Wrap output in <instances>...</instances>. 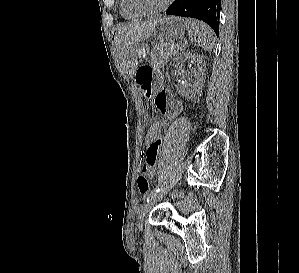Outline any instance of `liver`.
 Returning <instances> with one entry per match:
<instances>
[{
    "label": "liver",
    "mask_w": 299,
    "mask_h": 273,
    "mask_svg": "<svg viewBox=\"0 0 299 273\" xmlns=\"http://www.w3.org/2000/svg\"><path fill=\"white\" fill-rule=\"evenodd\" d=\"M158 20L131 22L118 27L114 42L124 66L134 74L138 64V48L147 40L159 23Z\"/></svg>",
    "instance_id": "1"
}]
</instances>
